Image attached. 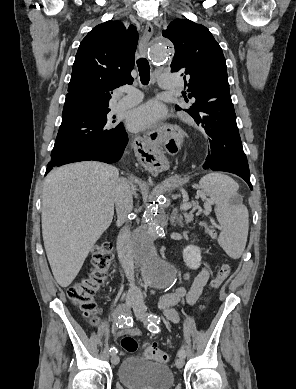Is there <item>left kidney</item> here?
Wrapping results in <instances>:
<instances>
[{
    "label": "left kidney",
    "instance_id": "1",
    "mask_svg": "<svg viewBox=\"0 0 296 389\" xmlns=\"http://www.w3.org/2000/svg\"><path fill=\"white\" fill-rule=\"evenodd\" d=\"M183 259L190 269H197L201 265L200 248L194 245L187 246L183 251Z\"/></svg>",
    "mask_w": 296,
    "mask_h": 389
}]
</instances>
